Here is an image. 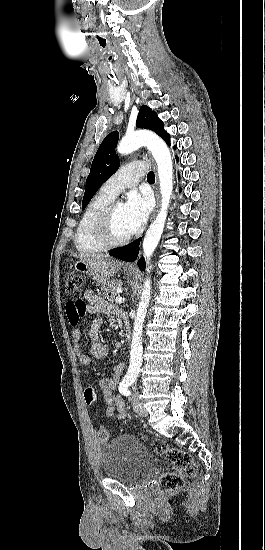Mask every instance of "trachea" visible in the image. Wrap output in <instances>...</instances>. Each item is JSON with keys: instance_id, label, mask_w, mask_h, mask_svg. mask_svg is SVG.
I'll return each mask as SVG.
<instances>
[{"instance_id": "trachea-1", "label": "trachea", "mask_w": 265, "mask_h": 550, "mask_svg": "<svg viewBox=\"0 0 265 550\" xmlns=\"http://www.w3.org/2000/svg\"><path fill=\"white\" fill-rule=\"evenodd\" d=\"M147 180L148 182H153L155 181V175L152 171H150L148 174H147Z\"/></svg>"}]
</instances>
